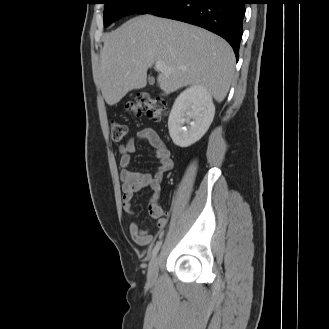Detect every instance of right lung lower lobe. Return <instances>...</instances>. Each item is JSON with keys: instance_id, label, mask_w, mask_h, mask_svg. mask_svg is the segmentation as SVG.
Masks as SVG:
<instances>
[{"instance_id": "right-lung-lower-lobe-1", "label": "right lung lower lobe", "mask_w": 329, "mask_h": 329, "mask_svg": "<svg viewBox=\"0 0 329 329\" xmlns=\"http://www.w3.org/2000/svg\"><path fill=\"white\" fill-rule=\"evenodd\" d=\"M245 0H172L151 14L200 26L223 37L238 60Z\"/></svg>"}]
</instances>
